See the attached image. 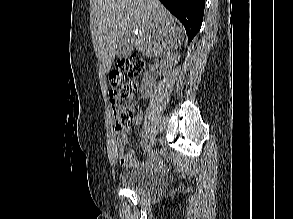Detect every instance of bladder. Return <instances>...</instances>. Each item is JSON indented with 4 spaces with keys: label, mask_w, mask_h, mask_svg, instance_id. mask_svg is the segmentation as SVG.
<instances>
[{
    "label": "bladder",
    "mask_w": 293,
    "mask_h": 219,
    "mask_svg": "<svg viewBox=\"0 0 293 219\" xmlns=\"http://www.w3.org/2000/svg\"><path fill=\"white\" fill-rule=\"evenodd\" d=\"M122 186L140 193H151L162 190L167 180L159 172L150 169H136L124 172L120 176Z\"/></svg>",
    "instance_id": "31cf9c89"
}]
</instances>
